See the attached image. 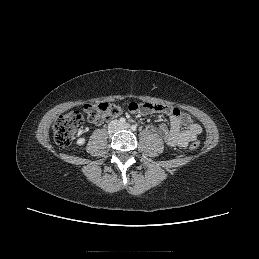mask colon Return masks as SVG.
I'll list each match as a JSON object with an SVG mask.
<instances>
[{
    "label": "colon",
    "mask_w": 259,
    "mask_h": 259,
    "mask_svg": "<svg viewBox=\"0 0 259 259\" xmlns=\"http://www.w3.org/2000/svg\"><path fill=\"white\" fill-rule=\"evenodd\" d=\"M84 111L88 121L94 124H100L121 115L123 113V108L115 104L99 103L86 104L84 106ZM83 124L84 116L79 111H71L60 115L53 125L55 142L60 146L69 145L73 140L75 133L82 128ZM198 147V141H193L189 145L190 150H196Z\"/></svg>",
    "instance_id": "obj_1"
}]
</instances>
